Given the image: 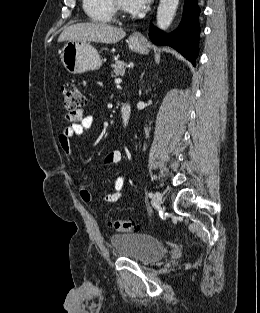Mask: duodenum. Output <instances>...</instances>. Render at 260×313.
Masks as SVG:
<instances>
[{
    "label": "duodenum",
    "instance_id": "duodenum-1",
    "mask_svg": "<svg viewBox=\"0 0 260 313\" xmlns=\"http://www.w3.org/2000/svg\"><path fill=\"white\" fill-rule=\"evenodd\" d=\"M131 119V107L127 102L121 104V121L124 128L129 126Z\"/></svg>",
    "mask_w": 260,
    "mask_h": 313
}]
</instances>
